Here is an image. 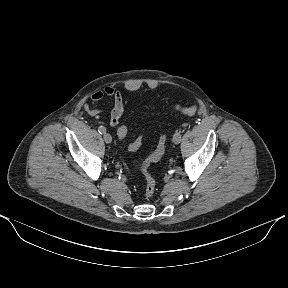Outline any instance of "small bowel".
Returning a JSON list of instances; mask_svg holds the SVG:
<instances>
[{"mask_svg":"<svg viewBox=\"0 0 288 288\" xmlns=\"http://www.w3.org/2000/svg\"><path fill=\"white\" fill-rule=\"evenodd\" d=\"M109 97L113 102V107L110 112V125L117 128V134L119 135L120 129L124 125H119L120 118L124 113V98L122 92L113 87L107 86L103 90L96 91L91 96V103L85 104V110L93 116H96L100 109L96 107V104L103 99V97Z\"/></svg>","mask_w":288,"mask_h":288,"instance_id":"small-bowel-1","label":"small bowel"}]
</instances>
